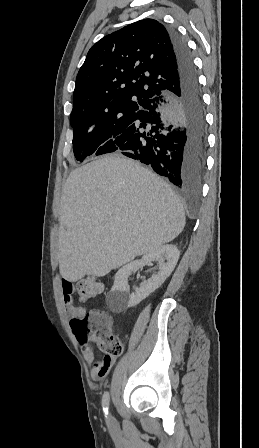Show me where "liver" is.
<instances>
[{
    "instance_id": "liver-1",
    "label": "liver",
    "mask_w": 259,
    "mask_h": 448,
    "mask_svg": "<svg viewBox=\"0 0 259 448\" xmlns=\"http://www.w3.org/2000/svg\"><path fill=\"white\" fill-rule=\"evenodd\" d=\"M59 224L60 274L78 282L106 276L171 242L185 226V212L162 178L131 158L109 154L69 174Z\"/></svg>"
}]
</instances>
